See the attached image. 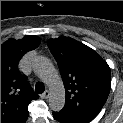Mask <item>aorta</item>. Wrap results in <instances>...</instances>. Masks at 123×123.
Here are the masks:
<instances>
[{
    "label": "aorta",
    "mask_w": 123,
    "mask_h": 123,
    "mask_svg": "<svg viewBox=\"0 0 123 123\" xmlns=\"http://www.w3.org/2000/svg\"><path fill=\"white\" fill-rule=\"evenodd\" d=\"M33 70L49 88V107L58 112L65 105V88L54 65L44 56H38L33 61Z\"/></svg>",
    "instance_id": "obj_1"
}]
</instances>
